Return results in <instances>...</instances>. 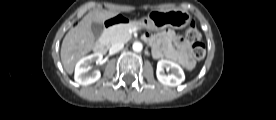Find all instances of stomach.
I'll use <instances>...</instances> for the list:
<instances>
[{
    "instance_id": "0dacf381",
    "label": "stomach",
    "mask_w": 276,
    "mask_h": 120,
    "mask_svg": "<svg viewBox=\"0 0 276 120\" xmlns=\"http://www.w3.org/2000/svg\"><path fill=\"white\" fill-rule=\"evenodd\" d=\"M190 20V14L179 9L151 11L147 17L137 21L136 25L152 31H160L167 27L182 29L187 26Z\"/></svg>"
}]
</instances>
